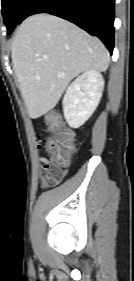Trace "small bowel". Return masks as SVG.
I'll return each instance as SVG.
<instances>
[{"instance_id": "obj_1", "label": "small bowel", "mask_w": 134, "mask_h": 281, "mask_svg": "<svg viewBox=\"0 0 134 281\" xmlns=\"http://www.w3.org/2000/svg\"><path fill=\"white\" fill-rule=\"evenodd\" d=\"M38 161L40 162V174L43 187L55 186L63 180L66 171L55 161L45 157H39Z\"/></svg>"}]
</instances>
